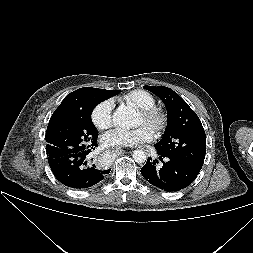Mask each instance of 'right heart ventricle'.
<instances>
[{
    "mask_svg": "<svg viewBox=\"0 0 253 253\" xmlns=\"http://www.w3.org/2000/svg\"><path fill=\"white\" fill-rule=\"evenodd\" d=\"M124 98L139 109H146L156 105L155 97L145 90H133L127 93Z\"/></svg>",
    "mask_w": 253,
    "mask_h": 253,
    "instance_id": "obj_1",
    "label": "right heart ventricle"
}]
</instances>
